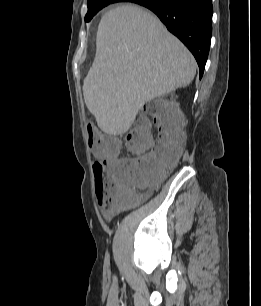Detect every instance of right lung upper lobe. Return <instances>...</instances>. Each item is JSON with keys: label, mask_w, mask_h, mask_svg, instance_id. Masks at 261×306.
<instances>
[{"label": "right lung upper lobe", "mask_w": 261, "mask_h": 306, "mask_svg": "<svg viewBox=\"0 0 261 306\" xmlns=\"http://www.w3.org/2000/svg\"><path fill=\"white\" fill-rule=\"evenodd\" d=\"M92 1V0H87V2ZM99 1H109V0H99ZM114 1H118V2H131L133 0H114Z\"/></svg>", "instance_id": "obj_1"}]
</instances>
